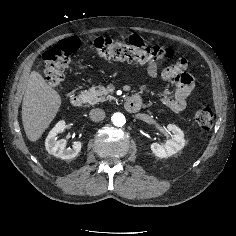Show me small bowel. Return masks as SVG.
<instances>
[{"instance_id": "c3829d8e", "label": "small bowel", "mask_w": 236, "mask_h": 236, "mask_svg": "<svg viewBox=\"0 0 236 236\" xmlns=\"http://www.w3.org/2000/svg\"><path fill=\"white\" fill-rule=\"evenodd\" d=\"M129 41L142 42L135 36L130 37ZM187 67V60L183 58L160 72L155 63L147 66V73L151 78L159 77L163 81H174L176 85L175 94L163 97L162 103L176 113H182L187 109V99L194 85L193 77L187 72Z\"/></svg>"}]
</instances>
